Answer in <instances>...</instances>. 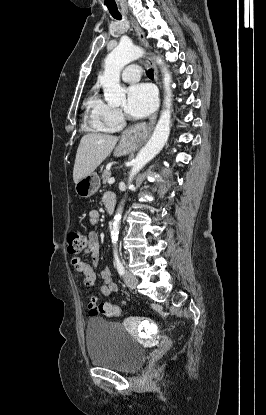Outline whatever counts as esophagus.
Instances as JSON below:
<instances>
[{"label":"esophagus","mask_w":266,"mask_h":415,"mask_svg":"<svg viewBox=\"0 0 266 415\" xmlns=\"http://www.w3.org/2000/svg\"><path fill=\"white\" fill-rule=\"evenodd\" d=\"M132 25L138 35L140 43L145 48H148V42L145 38L144 32L142 31V29L140 28V26L134 19H132ZM146 61L153 68L154 79L156 83L159 84L158 83V70L149 54L146 57ZM157 114H158V110L150 117L149 124L147 126L140 124V125H135V126L130 127L128 130H126L123 133L122 138L132 144H138L141 141H143V139H145L150 134L151 130L153 129L156 119H157Z\"/></svg>","instance_id":"esophagus-1"}]
</instances>
